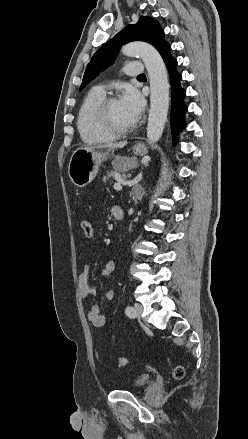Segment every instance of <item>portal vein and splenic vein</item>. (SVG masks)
I'll return each instance as SVG.
<instances>
[{
    "mask_svg": "<svg viewBox=\"0 0 248 439\" xmlns=\"http://www.w3.org/2000/svg\"><path fill=\"white\" fill-rule=\"evenodd\" d=\"M133 183H134V182H123L122 184H123V185H132ZM113 187H114V189L117 190V191L122 190V185H121V183H115Z\"/></svg>",
    "mask_w": 248,
    "mask_h": 439,
    "instance_id": "1",
    "label": "portal vein and splenic vein"
}]
</instances>
